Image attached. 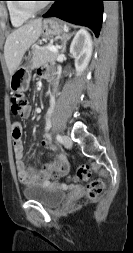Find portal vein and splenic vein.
<instances>
[{
	"label": "portal vein and splenic vein",
	"mask_w": 133,
	"mask_h": 253,
	"mask_svg": "<svg viewBox=\"0 0 133 253\" xmlns=\"http://www.w3.org/2000/svg\"><path fill=\"white\" fill-rule=\"evenodd\" d=\"M47 48L54 53H58V48L55 46H47Z\"/></svg>",
	"instance_id": "portal-vein-and-splenic-vein-1"
}]
</instances>
